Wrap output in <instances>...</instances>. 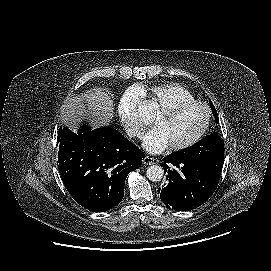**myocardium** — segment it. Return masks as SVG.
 Instances as JSON below:
<instances>
[{"mask_svg":"<svg viewBox=\"0 0 271 271\" xmlns=\"http://www.w3.org/2000/svg\"><path fill=\"white\" fill-rule=\"evenodd\" d=\"M193 106L202 107L206 111V114H207L206 122H205L204 126L202 127V129L193 138H191L190 140H188V141H186V142H184L182 144L171 145L170 149L172 151L186 150V149L194 146L200 140L203 139V137L206 135V133L208 132V130L210 128V125H211V121H212L211 108L204 102L192 100V101H185V102L175 103V104H172L170 106L161 108L158 111L159 115L173 116V115L179 113L180 111H182L184 109H187L189 107H193Z\"/></svg>","mask_w":271,"mask_h":271,"instance_id":"myocardium-1","label":"myocardium"}]
</instances>
